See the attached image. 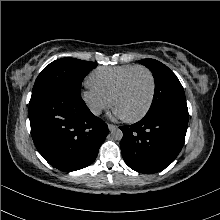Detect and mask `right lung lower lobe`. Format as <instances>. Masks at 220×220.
<instances>
[{
  "mask_svg": "<svg viewBox=\"0 0 220 220\" xmlns=\"http://www.w3.org/2000/svg\"><path fill=\"white\" fill-rule=\"evenodd\" d=\"M34 144L57 169L71 172L89 166L109 133L81 97L60 90L34 92L29 102Z\"/></svg>",
  "mask_w": 220,
  "mask_h": 220,
  "instance_id": "1",
  "label": "right lung lower lobe"
}]
</instances>
